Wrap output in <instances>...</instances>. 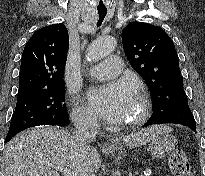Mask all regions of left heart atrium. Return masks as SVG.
Returning <instances> with one entry per match:
<instances>
[{"label": "left heart atrium", "mask_w": 205, "mask_h": 176, "mask_svg": "<svg viewBox=\"0 0 205 176\" xmlns=\"http://www.w3.org/2000/svg\"><path fill=\"white\" fill-rule=\"evenodd\" d=\"M91 107L111 122L120 121L135 99V88L127 81L113 82L91 88L88 92Z\"/></svg>", "instance_id": "left-heart-atrium-1"}]
</instances>
